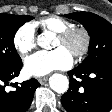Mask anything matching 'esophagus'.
I'll use <instances>...</instances> for the list:
<instances>
[{"label":"esophagus","instance_id":"obj_1","mask_svg":"<svg viewBox=\"0 0 112 112\" xmlns=\"http://www.w3.org/2000/svg\"><path fill=\"white\" fill-rule=\"evenodd\" d=\"M47 80H48V77H47V76L39 77V78H38L39 83L42 84V85H43L44 83H46Z\"/></svg>","mask_w":112,"mask_h":112}]
</instances>
